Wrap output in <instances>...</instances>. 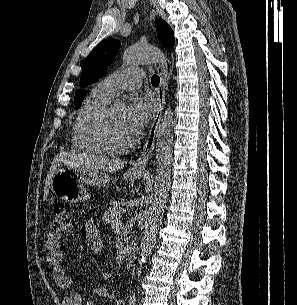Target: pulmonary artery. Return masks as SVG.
Instances as JSON below:
<instances>
[{"label":"pulmonary artery","instance_id":"e3ab8cb5","mask_svg":"<svg viewBox=\"0 0 297 305\" xmlns=\"http://www.w3.org/2000/svg\"><path fill=\"white\" fill-rule=\"evenodd\" d=\"M144 71L137 68H126L103 78L98 87L111 98L125 90L137 89L141 86Z\"/></svg>","mask_w":297,"mask_h":305}]
</instances>
